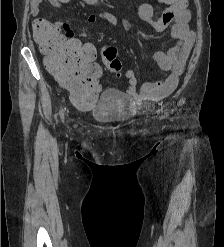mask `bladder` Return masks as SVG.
Instances as JSON below:
<instances>
[{
    "label": "bladder",
    "mask_w": 224,
    "mask_h": 247,
    "mask_svg": "<svg viewBox=\"0 0 224 247\" xmlns=\"http://www.w3.org/2000/svg\"><path fill=\"white\" fill-rule=\"evenodd\" d=\"M125 103L121 93L108 88L101 93L98 102L90 110L94 120L104 124H113L126 118Z\"/></svg>",
    "instance_id": "bladder-1"
}]
</instances>
